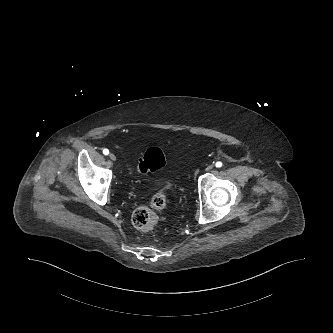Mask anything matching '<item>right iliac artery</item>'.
<instances>
[{"label": "right iliac artery", "mask_w": 333, "mask_h": 333, "mask_svg": "<svg viewBox=\"0 0 333 333\" xmlns=\"http://www.w3.org/2000/svg\"><path fill=\"white\" fill-rule=\"evenodd\" d=\"M103 154H104V155H108V154H109V150H108V149H106V148H105V149H103Z\"/></svg>", "instance_id": "right-iliac-artery-1"}]
</instances>
